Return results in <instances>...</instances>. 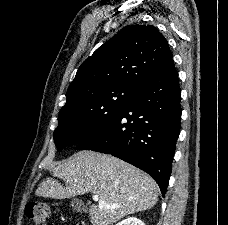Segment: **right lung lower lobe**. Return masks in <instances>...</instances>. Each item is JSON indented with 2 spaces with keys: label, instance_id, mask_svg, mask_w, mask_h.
I'll list each match as a JSON object with an SVG mask.
<instances>
[{
  "label": "right lung lower lobe",
  "instance_id": "98d812e1",
  "mask_svg": "<svg viewBox=\"0 0 228 225\" xmlns=\"http://www.w3.org/2000/svg\"><path fill=\"white\" fill-rule=\"evenodd\" d=\"M181 90L173 59L138 86L77 149L111 154L150 174L164 196L180 132Z\"/></svg>",
  "mask_w": 228,
  "mask_h": 225
}]
</instances>
